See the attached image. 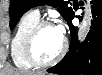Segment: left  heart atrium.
Segmentation results:
<instances>
[{
    "label": "left heart atrium",
    "mask_w": 102,
    "mask_h": 75,
    "mask_svg": "<svg viewBox=\"0 0 102 75\" xmlns=\"http://www.w3.org/2000/svg\"><path fill=\"white\" fill-rule=\"evenodd\" d=\"M58 31L60 32L61 36H63L64 33V27L62 25L57 26Z\"/></svg>",
    "instance_id": "obj_1"
}]
</instances>
